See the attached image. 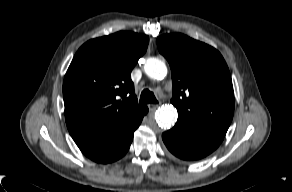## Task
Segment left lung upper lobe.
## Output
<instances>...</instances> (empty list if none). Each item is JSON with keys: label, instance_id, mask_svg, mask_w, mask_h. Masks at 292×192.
Masks as SVG:
<instances>
[{"label": "left lung upper lobe", "instance_id": "left-lung-upper-lobe-1", "mask_svg": "<svg viewBox=\"0 0 292 192\" xmlns=\"http://www.w3.org/2000/svg\"><path fill=\"white\" fill-rule=\"evenodd\" d=\"M171 67L177 127L224 137L234 113L229 69L213 47L180 33L157 38Z\"/></svg>", "mask_w": 292, "mask_h": 192}]
</instances>
